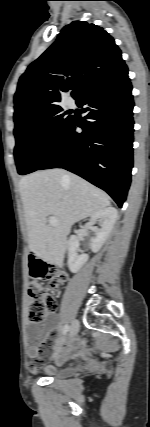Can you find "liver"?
Returning a JSON list of instances; mask_svg holds the SVG:
<instances>
[{
  "label": "liver",
  "instance_id": "1",
  "mask_svg": "<svg viewBox=\"0 0 150 427\" xmlns=\"http://www.w3.org/2000/svg\"><path fill=\"white\" fill-rule=\"evenodd\" d=\"M28 241L38 256L62 264L74 223L110 206L109 196L63 169L36 171L19 182ZM57 220L47 224V217Z\"/></svg>",
  "mask_w": 150,
  "mask_h": 427
}]
</instances>
